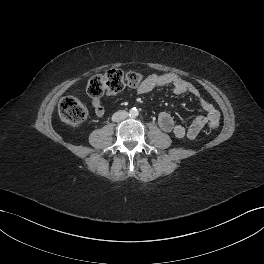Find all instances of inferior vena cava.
Returning <instances> with one entry per match:
<instances>
[{"instance_id": "inferior-vena-cava-1", "label": "inferior vena cava", "mask_w": 264, "mask_h": 264, "mask_svg": "<svg viewBox=\"0 0 264 264\" xmlns=\"http://www.w3.org/2000/svg\"><path fill=\"white\" fill-rule=\"evenodd\" d=\"M127 117H128V112L125 110H120L113 114L112 121L119 122L126 119Z\"/></svg>"}]
</instances>
